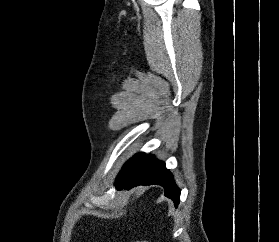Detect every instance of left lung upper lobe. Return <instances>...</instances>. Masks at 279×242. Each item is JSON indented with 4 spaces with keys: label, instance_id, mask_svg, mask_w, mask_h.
I'll return each instance as SVG.
<instances>
[{
    "label": "left lung upper lobe",
    "instance_id": "1",
    "mask_svg": "<svg viewBox=\"0 0 279 242\" xmlns=\"http://www.w3.org/2000/svg\"><path fill=\"white\" fill-rule=\"evenodd\" d=\"M145 156V153H138L136 154L135 156H133V160H129L127 161L122 170L120 171L119 175L117 176V180L121 179L125 174L126 172L134 165L136 164L140 159H142L143 157Z\"/></svg>",
    "mask_w": 279,
    "mask_h": 242
}]
</instances>
